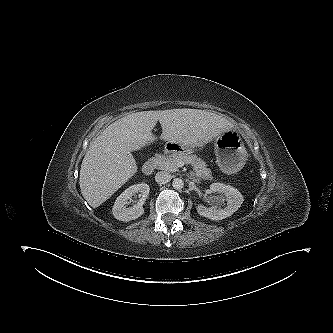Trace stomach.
Instances as JSON below:
<instances>
[{
	"mask_svg": "<svg viewBox=\"0 0 333 333\" xmlns=\"http://www.w3.org/2000/svg\"><path fill=\"white\" fill-rule=\"evenodd\" d=\"M215 154L220 170L225 174L237 173L245 164L246 150L234 131L219 135L215 141ZM188 149L181 147V150Z\"/></svg>",
	"mask_w": 333,
	"mask_h": 333,
	"instance_id": "0dacf381",
	"label": "stomach"
}]
</instances>
